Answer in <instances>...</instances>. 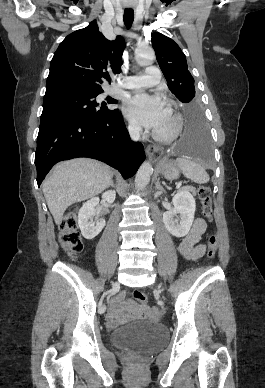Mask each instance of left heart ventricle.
<instances>
[{
  "label": "left heart ventricle",
  "mask_w": 265,
  "mask_h": 388,
  "mask_svg": "<svg viewBox=\"0 0 265 388\" xmlns=\"http://www.w3.org/2000/svg\"><path fill=\"white\" fill-rule=\"evenodd\" d=\"M143 91H155L157 89V86H142L141 88ZM170 116L169 114L167 115V117L164 119V121L159 125L157 126V129L160 130V131H166L169 129L170 127Z\"/></svg>",
  "instance_id": "left-heart-ventricle-1"
}]
</instances>
